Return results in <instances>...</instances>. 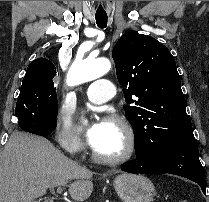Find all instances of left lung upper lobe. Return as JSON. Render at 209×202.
Segmentation results:
<instances>
[{
    "mask_svg": "<svg viewBox=\"0 0 209 202\" xmlns=\"http://www.w3.org/2000/svg\"><path fill=\"white\" fill-rule=\"evenodd\" d=\"M112 57L124 87V109L134 130L135 147L158 154L193 134L176 62L166 46L129 31L118 39Z\"/></svg>",
    "mask_w": 209,
    "mask_h": 202,
    "instance_id": "1",
    "label": "left lung upper lobe"
}]
</instances>
